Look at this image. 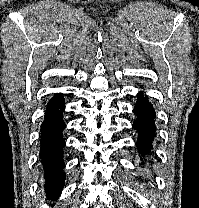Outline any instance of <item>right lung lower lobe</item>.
I'll list each match as a JSON object with an SVG mask.
<instances>
[{"mask_svg":"<svg viewBox=\"0 0 199 208\" xmlns=\"http://www.w3.org/2000/svg\"><path fill=\"white\" fill-rule=\"evenodd\" d=\"M64 99L62 95L53 97L47 104L45 120L41 124L40 158L45 172V188L49 197L59 196L64 185L65 173L62 131L65 128L63 121Z\"/></svg>","mask_w":199,"mask_h":208,"instance_id":"98d812e1","label":"right lung lower lobe"}]
</instances>
